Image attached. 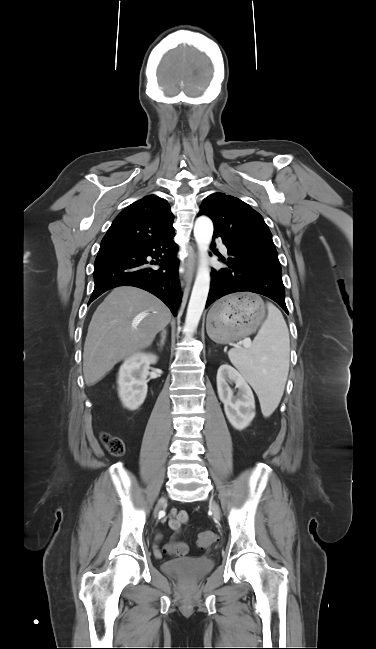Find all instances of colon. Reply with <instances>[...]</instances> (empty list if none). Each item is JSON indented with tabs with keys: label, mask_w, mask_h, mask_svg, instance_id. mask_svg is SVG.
Instances as JSON below:
<instances>
[{
	"label": "colon",
	"mask_w": 376,
	"mask_h": 649,
	"mask_svg": "<svg viewBox=\"0 0 376 649\" xmlns=\"http://www.w3.org/2000/svg\"><path fill=\"white\" fill-rule=\"evenodd\" d=\"M101 440L107 451L111 455L120 457L125 453V444L121 438L109 433H103L101 435ZM214 539V534L212 532H200L197 536V545L200 549H207L213 544ZM168 549L172 553L181 554L186 551V546L184 544L177 543L175 545H170Z\"/></svg>",
	"instance_id": "1"
}]
</instances>
